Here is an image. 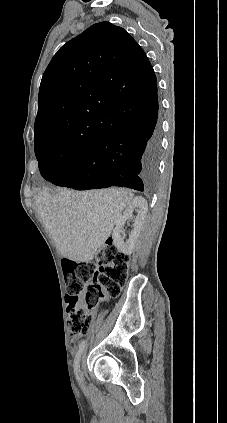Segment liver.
<instances>
[{
  "mask_svg": "<svg viewBox=\"0 0 227 423\" xmlns=\"http://www.w3.org/2000/svg\"><path fill=\"white\" fill-rule=\"evenodd\" d=\"M133 198L134 194L124 188L90 192L61 188L52 194L41 190L36 208L63 257L90 261L105 245L119 213Z\"/></svg>",
  "mask_w": 227,
  "mask_h": 423,
  "instance_id": "liver-1",
  "label": "liver"
}]
</instances>
